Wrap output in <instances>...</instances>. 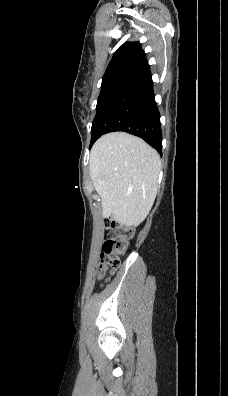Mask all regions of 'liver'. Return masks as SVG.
<instances>
[{
    "label": "liver",
    "instance_id": "1",
    "mask_svg": "<svg viewBox=\"0 0 228 396\" xmlns=\"http://www.w3.org/2000/svg\"><path fill=\"white\" fill-rule=\"evenodd\" d=\"M89 165L103 216L127 227L139 225L157 194L161 160L156 150L128 133H109L92 147Z\"/></svg>",
    "mask_w": 228,
    "mask_h": 396
}]
</instances>
